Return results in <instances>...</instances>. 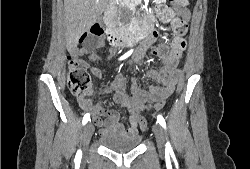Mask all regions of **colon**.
I'll return each mask as SVG.
<instances>
[{
  "instance_id": "1",
  "label": "colon",
  "mask_w": 250,
  "mask_h": 169,
  "mask_svg": "<svg viewBox=\"0 0 250 169\" xmlns=\"http://www.w3.org/2000/svg\"><path fill=\"white\" fill-rule=\"evenodd\" d=\"M171 6L178 8L182 5H186L185 1L182 0H172ZM185 22L176 21L175 29L181 32L184 28ZM105 30L99 23L93 24L89 31L85 34H79V42L86 43L88 45L92 44L96 39L102 37ZM67 84L73 95L79 98L87 97L91 94V77L88 72L79 64V62L72 57H69V68L67 71ZM160 95H169L168 93H160ZM167 97H152L150 99V104H154V108H163L165 102H167ZM149 103H132V115L136 117L137 123L140 124L142 131L147 129L146 120L143 119V115L139 112L138 108H149L151 105ZM150 113V110L146 111Z\"/></svg>"
}]
</instances>
